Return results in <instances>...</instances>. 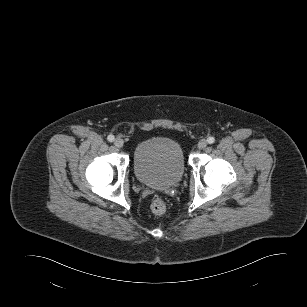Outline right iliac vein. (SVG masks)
I'll list each match as a JSON object with an SVG mask.
<instances>
[{
    "mask_svg": "<svg viewBox=\"0 0 307 307\" xmlns=\"http://www.w3.org/2000/svg\"><path fill=\"white\" fill-rule=\"evenodd\" d=\"M114 145H115L117 148H122V147H123V140L120 139V138H117V139L114 141Z\"/></svg>",
    "mask_w": 307,
    "mask_h": 307,
    "instance_id": "obj_1",
    "label": "right iliac vein"
}]
</instances>
